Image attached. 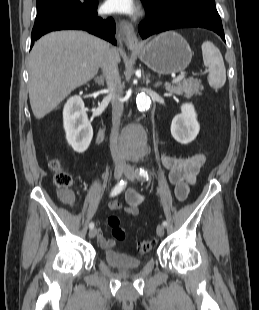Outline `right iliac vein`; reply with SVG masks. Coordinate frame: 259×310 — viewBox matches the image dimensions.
Segmentation results:
<instances>
[{"label": "right iliac vein", "instance_id": "63e3f726", "mask_svg": "<svg viewBox=\"0 0 259 310\" xmlns=\"http://www.w3.org/2000/svg\"><path fill=\"white\" fill-rule=\"evenodd\" d=\"M126 170V166L123 165V164H117L115 166V169H114V178L115 179H120L123 172H125ZM97 234V229L96 228H92L90 231H89V237L90 238H94Z\"/></svg>", "mask_w": 259, "mask_h": 310}]
</instances>
